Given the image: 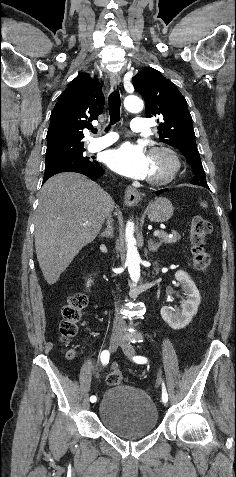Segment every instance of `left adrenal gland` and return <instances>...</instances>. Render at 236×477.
<instances>
[{"label":"left adrenal gland","mask_w":236,"mask_h":477,"mask_svg":"<svg viewBox=\"0 0 236 477\" xmlns=\"http://www.w3.org/2000/svg\"><path fill=\"white\" fill-rule=\"evenodd\" d=\"M160 246H161V243H155L152 239L148 241L149 251L156 252Z\"/></svg>","instance_id":"obj_1"}]
</instances>
